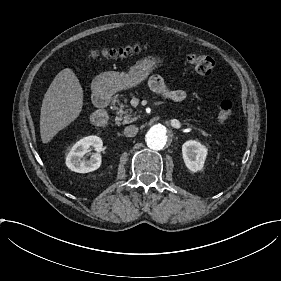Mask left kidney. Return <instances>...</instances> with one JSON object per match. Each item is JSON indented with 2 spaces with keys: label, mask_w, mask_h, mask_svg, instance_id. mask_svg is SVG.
Segmentation results:
<instances>
[{
  "label": "left kidney",
  "mask_w": 281,
  "mask_h": 281,
  "mask_svg": "<svg viewBox=\"0 0 281 281\" xmlns=\"http://www.w3.org/2000/svg\"><path fill=\"white\" fill-rule=\"evenodd\" d=\"M207 148L195 140L186 141L182 146V154L186 167L197 172L203 169L207 156Z\"/></svg>",
  "instance_id": "1"
}]
</instances>
